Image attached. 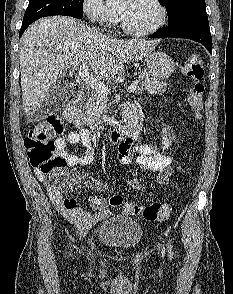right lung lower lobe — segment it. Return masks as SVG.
Instances as JSON below:
<instances>
[{"label": "right lung lower lobe", "mask_w": 233, "mask_h": 294, "mask_svg": "<svg viewBox=\"0 0 233 294\" xmlns=\"http://www.w3.org/2000/svg\"><path fill=\"white\" fill-rule=\"evenodd\" d=\"M29 26V24H22L19 36H21L23 34V32L25 31V29Z\"/></svg>", "instance_id": "right-lung-lower-lobe-1"}]
</instances>
